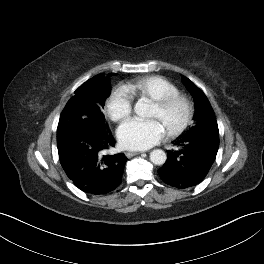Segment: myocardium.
Wrapping results in <instances>:
<instances>
[{"mask_svg": "<svg viewBox=\"0 0 264 264\" xmlns=\"http://www.w3.org/2000/svg\"><path fill=\"white\" fill-rule=\"evenodd\" d=\"M154 105L161 114H166L177 106L182 107L183 116L180 121L176 125L167 129V134L170 137H176L182 134L192 122L194 106L191 100L184 94L176 93L167 96L161 100L154 101Z\"/></svg>", "mask_w": 264, "mask_h": 264, "instance_id": "obj_1", "label": "myocardium"}]
</instances>
